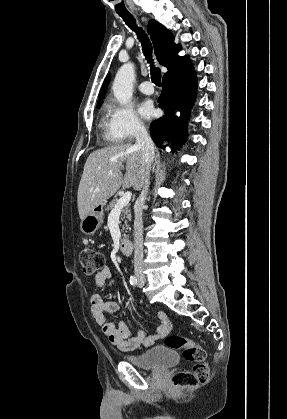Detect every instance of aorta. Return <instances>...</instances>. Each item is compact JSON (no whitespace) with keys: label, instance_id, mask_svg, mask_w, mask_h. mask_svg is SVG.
Listing matches in <instances>:
<instances>
[{"label":"aorta","instance_id":"obj_1","mask_svg":"<svg viewBox=\"0 0 287 419\" xmlns=\"http://www.w3.org/2000/svg\"><path fill=\"white\" fill-rule=\"evenodd\" d=\"M134 77L132 63L122 65L116 73L112 90L115 98L122 105L130 102L132 98Z\"/></svg>","mask_w":287,"mask_h":419}]
</instances>
